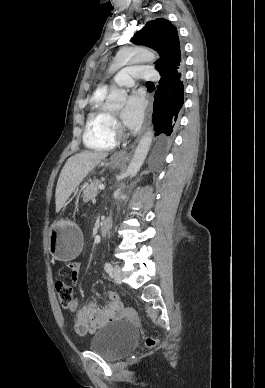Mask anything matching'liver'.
I'll return each mask as SVG.
<instances>
[{"mask_svg":"<svg viewBox=\"0 0 265 388\" xmlns=\"http://www.w3.org/2000/svg\"><path fill=\"white\" fill-rule=\"evenodd\" d=\"M107 156V152H89L86 150V152L75 154L67 160L57 182L56 212H60L72 192L81 184L83 178Z\"/></svg>","mask_w":265,"mask_h":388,"instance_id":"6515ba94","label":"liver"}]
</instances>
